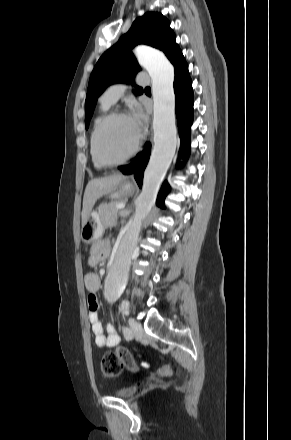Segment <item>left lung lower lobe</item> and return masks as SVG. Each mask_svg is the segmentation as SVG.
Segmentation results:
<instances>
[{
    "label": "left lung lower lobe",
    "instance_id": "obj_1",
    "mask_svg": "<svg viewBox=\"0 0 291 440\" xmlns=\"http://www.w3.org/2000/svg\"><path fill=\"white\" fill-rule=\"evenodd\" d=\"M175 70L174 92L176 100V116L178 121L181 146L179 157L187 159L190 153V131L193 122V89L192 81L188 72V65L181 54L173 63ZM150 146L149 144H147ZM150 157V149L139 153L129 165L119 166L118 169L125 175L134 174V177L142 187L143 173ZM170 190L165 182L159 192L157 205L164 207V199Z\"/></svg>",
    "mask_w": 291,
    "mask_h": 440
}]
</instances>
